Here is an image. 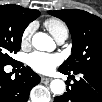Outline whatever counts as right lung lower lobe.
I'll list each match as a JSON object with an SVG mask.
<instances>
[{"label":"right lung lower lobe","instance_id":"right-lung-lower-lobe-1","mask_svg":"<svg viewBox=\"0 0 102 102\" xmlns=\"http://www.w3.org/2000/svg\"><path fill=\"white\" fill-rule=\"evenodd\" d=\"M16 63L19 67L23 65L17 61ZM3 67L0 65V100L3 102H26L30 90L40 82L39 75L30 67L24 66L19 69L20 74L17 73L15 79L12 80L11 74L5 73Z\"/></svg>","mask_w":102,"mask_h":102}]
</instances>
